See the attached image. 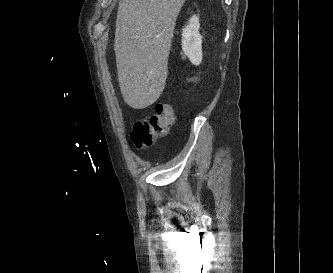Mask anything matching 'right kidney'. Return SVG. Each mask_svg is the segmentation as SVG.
<instances>
[{"label": "right kidney", "instance_id": "right-kidney-1", "mask_svg": "<svg viewBox=\"0 0 333 273\" xmlns=\"http://www.w3.org/2000/svg\"><path fill=\"white\" fill-rule=\"evenodd\" d=\"M199 27V19L195 15L182 31V50L194 65H199L202 61V39Z\"/></svg>", "mask_w": 333, "mask_h": 273}]
</instances>
